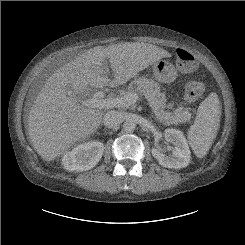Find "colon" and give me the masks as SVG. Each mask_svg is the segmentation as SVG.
<instances>
[{
    "instance_id": "obj_1",
    "label": "colon",
    "mask_w": 245,
    "mask_h": 245,
    "mask_svg": "<svg viewBox=\"0 0 245 245\" xmlns=\"http://www.w3.org/2000/svg\"><path fill=\"white\" fill-rule=\"evenodd\" d=\"M177 66L181 72H192L197 67L194 55L185 48L176 50ZM205 86L201 81H191L185 87V97L189 101L198 99L204 92Z\"/></svg>"
}]
</instances>
